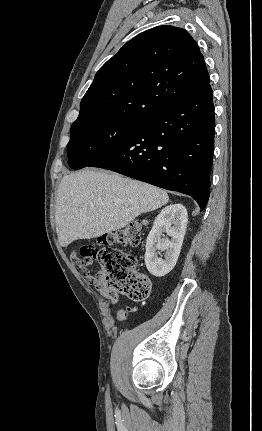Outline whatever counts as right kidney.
I'll use <instances>...</instances> for the list:
<instances>
[{
    "instance_id": "ca27d5eb",
    "label": "right kidney",
    "mask_w": 262,
    "mask_h": 431,
    "mask_svg": "<svg viewBox=\"0 0 262 431\" xmlns=\"http://www.w3.org/2000/svg\"><path fill=\"white\" fill-rule=\"evenodd\" d=\"M187 222V210L182 204L166 206L156 217L146 240L145 252V264L152 275L164 276L176 265ZM164 233L171 237V241L162 237ZM160 251H166L164 260L158 257Z\"/></svg>"
}]
</instances>
